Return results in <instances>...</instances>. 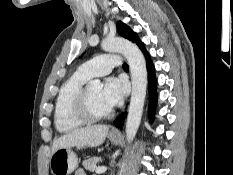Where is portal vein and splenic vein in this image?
<instances>
[{
    "label": "portal vein and splenic vein",
    "instance_id": "18ae733b",
    "mask_svg": "<svg viewBox=\"0 0 233 175\" xmlns=\"http://www.w3.org/2000/svg\"><path fill=\"white\" fill-rule=\"evenodd\" d=\"M106 170H107L106 166H100V167L96 168V173L101 174V173L106 172Z\"/></svg>",
    "mask_w": 233,
    "mask_h": 175
}]
</instances>
